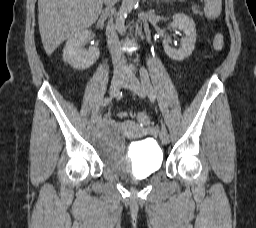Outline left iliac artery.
Here are the masks:
<instances>
[{"label":"left iliac artery","instance_id":"1","mask_svg":"<svg viewBox=\"0 0 256 228\" xmlns=\"http://www.w3.org/2000/svg\"><path fill=\"white\" fill-rule=\"evenodd\" d=\"M140 79H141L142 86L146 91L148 97L150 99H155L156 98L155 90L150 82L148 72L144 67L140 68ZM162 126L165 127V124L163 122H162Z\"/></svg>","mask_w":256,"mask_h":228}]
</instances>
